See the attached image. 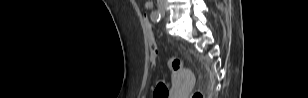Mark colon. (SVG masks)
<instances>
[{
	"label": "colon",
	"mask_w": 308,
	"mask_h": 98,
	"mask_svg": "<svg viewBox=\"0 0 308 98\" xmlns=\"http://www.w3.org/2000/svg\"><path fill=\"white\" fill-rule=\"evenodd\" d=\"M141 15L145 16L144 20L145 31L148 32V44H149V51H150V58L152 62H155L157 58V45L155 41V37L153 31L155 29L154 24H150L147 9L141 10ZM168 66L170 70L173 72H178L183 69V61L180 58L172 57L168 60ZM154 98H168L169 95V84L167 82L161 81L158 82L154 89ZM191 98H204V94L201 91H195L192 93Z\"/></svg>",
	"instance_id": "colon-1"
}]
</instances>
